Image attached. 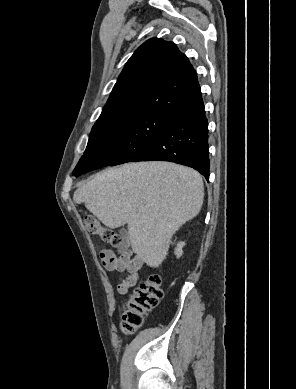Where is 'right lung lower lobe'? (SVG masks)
<instances>
[{
  "mask_svg": "<svg viewBox=\"0 0 296 389\" xmlns=\"http://www.w3.org/2000/svg\"><path fill=\"white\" fill-rule=\"evenodd\" d=\"M139 161H170L189 166L209 180L208 121L204 105L176 117L172 124L147 148ZM94 170L76 167L74 176Z\"/></svg>",
  "mask_w": 296,
  "mask_h": 389,
  "instance_id": "1",
  "label": "right lung lower lobe"
}]
</instances>
